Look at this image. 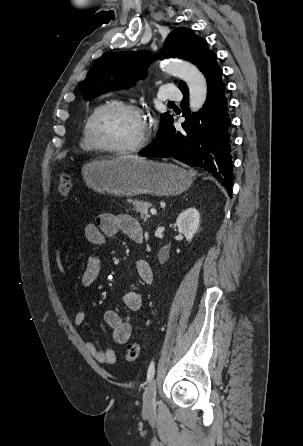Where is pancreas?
<instances>
[{
  "mask_svg": "<svg viewBox=\"0 0 303 446\" xmlns=\"http://www.w3.org/2000/svg\"><path fill=\"white\" fill-rule=\"evenodd\" d=\"M131 203L133 204L136 212L140 213V217L143 222H147V220L150 218L148 208L151 206V204L149 202L139 201L137 199L131 200Z\"/></svg>",
  "mask_w": 303,
  "mask_h": 446,
  "instance_id": "1",
  "label": "pancreas"
}]
</instances>
